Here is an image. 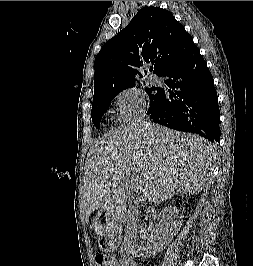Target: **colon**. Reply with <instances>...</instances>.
<instances>
[{
  "label": "colon",
  "mask_w": 253,
  "mask_h": 266,
  "mask_svg": "<svg viewBox=\"0 0 253 266\" xmlns=\"http://www.w3.org/2000/svg\"><path fill=\"white\" fill-rule=\"evenodd\" d=\"M95 266H116V260L103 253L95 256Z\"/></svg>",
  "instance_id": "5ec220e1"
}]
</instances>
